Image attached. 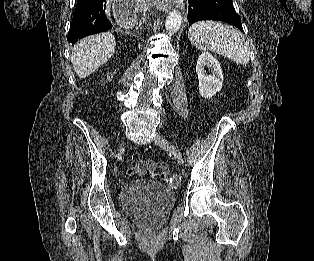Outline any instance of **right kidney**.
I'll return each mask as SVG.
<instances>
[{
  "label": "right kidney",
  "instance_id": "obj_1",
  "mask_svg": "<svg viewBox=\"0 0 314 261\" xmlns=\"http://www.w3.org/2000/svg\"><path fill=\"white\" fill-rule=\"evenodd\" d=\"M113 77V74L109 77V80H110V78H112Z\"/></svg>",
  "mask_w": 314,
  "mask_h": 261
}]
</instances>
